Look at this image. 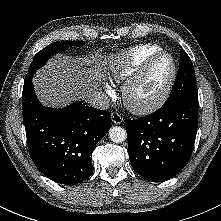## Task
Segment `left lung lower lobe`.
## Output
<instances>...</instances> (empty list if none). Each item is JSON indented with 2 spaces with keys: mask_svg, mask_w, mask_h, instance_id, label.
Masks as SVG:
<instances>
[{
  "mask_svg": "<svg viewBox=\"0 0 221 221\" xmlns=\"http://www.w3.org/2000/svg\"><path fill=\"white\" fill-rule=\"evenodd\" d=\"M198 96H184L137 120L126 119L132 168L145 180L166 181L188 163L197 131Z\"/></svg>",
  "mask_w": 221,
  "mask_h": 221,
  "instance_id": "1",
  "label": "left lung lower lobe"
}]
</instances>
